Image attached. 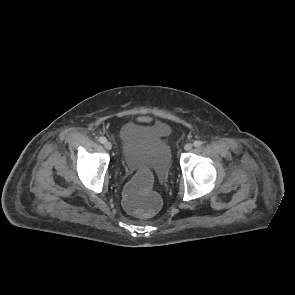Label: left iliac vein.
<instances>
[{
	"label": "left iliac vein",
	"instance_id": "1",
	"mask_svg": "<svg viewBox=\"0 0 295 295\" xmlns=\"http://www.w3.org/2000/svg\"><path fill=\"white\" fill-rule=\"evenodd\" d=\"M192 147H193L192 143H187V144H185L184 149L186 151H190L192 149Z\"/></svg>",
	"mask_w": 295,
	"mask_h": 295
}]
</instances>
